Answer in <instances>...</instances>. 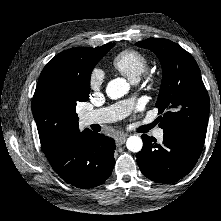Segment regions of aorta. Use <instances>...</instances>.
I'll return each mask as SVG.
<instances>
[{
  "label": "aorta",
  "instance_id": "obj_1",
  "mask_svg": "<svg viewBox=\"0 0 221 221\" xmlns=\"http://www.w3.org/2000/svg\"><path fill=\"white\" fill-rule=\"evenodd\" d=\"M130 89L129 83L124 78H116L111 80L106 87V93L111 99H119L124 96ZM126 147L129 151L137 153L143 147L142 139L133 135L127 139Z\"/></svg>",
  "mask_w": 221,
  "mask_h": 221
}]
</instances>
